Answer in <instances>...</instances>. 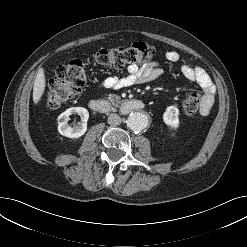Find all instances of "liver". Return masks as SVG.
I'll return each instance as SVG.
<instances>
[{"label": "liver", "instance_id": "6515ba94", "mask_svg": "<svg viewBox=\"0 0 247 247\" xmlns=\"http://www.w3.org/2000/svg\"><path fill=\"white\" fill-rule=\"evenodd\" d=\"M45 87H46L45 73H44V69L41 68L37 73L33 86V101L35 104H38V102L41 100V97L43 96L45 91Z\"/></svg>", "mask_w": 247, "mask_h": 247}]
</instances>
